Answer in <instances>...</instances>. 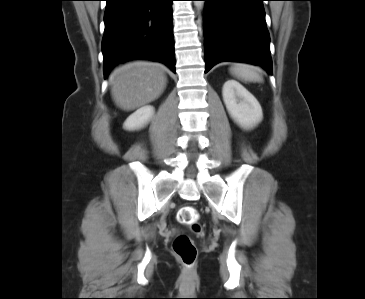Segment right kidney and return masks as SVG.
Masks as SVG:
<instances>
[{
	"mask_svg": "<svg viewBox=\"0 0 365 299\" xmlns=\"http://www.w3.org/2000/svg\"><path fill=\"white\" fill-rule=\"evenodd\" d=\"M153 106L146 105L131 114L123 124L126 130H137L144 127L153 117Z\"/></svg>",
	"mask_w": 365,
	"mask_h": 299,
	"instance_id": "ca27d5eb",
	"label": "right kidney"
}]
</instances>
